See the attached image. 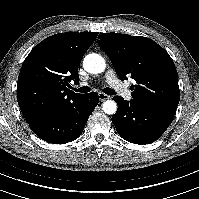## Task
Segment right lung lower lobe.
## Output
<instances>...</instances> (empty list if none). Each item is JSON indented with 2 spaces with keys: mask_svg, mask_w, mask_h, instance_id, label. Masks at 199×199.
I'll return each instance as SVG.
<instances>
[{
  "mask_svg": "<svg viewBox=\"0 0 199 199\" xmlns=\"http://www.w3.org/2000/svg\"><path fill=\"white\" fill-rule=\"evenodd\" d=\"M99 102L96 92L84 94L78 101L56 113L30 123L32 131L42 140L64 144L77 139L94 108Z\"/></svg>",
  "mask_w": 199,
  "mask_h": 199,
  "instance_id": "obj_1",
  "label": "right lung lower lobe"
}]
</instances>
